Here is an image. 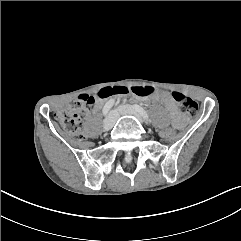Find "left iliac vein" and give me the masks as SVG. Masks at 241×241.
<instances>
[{"instance_id": "4c4485c4", "label": "left iliac vein", "mask_w": 241, "mask_h": 241, "mask_svg": "<svg viewBox=\"0 0 241 241\" xmlns=\"http://www.w3.org/2000/svg\"><path fill=\"white\" fill-rule=\"evenodd\" d=\"M117 115H131L136 117L141 123L143 122L140 114L130 105H121L117 109Z\"/></svg>"}]
</instances>
